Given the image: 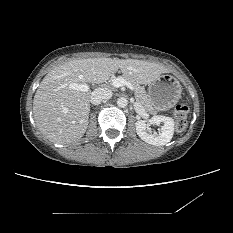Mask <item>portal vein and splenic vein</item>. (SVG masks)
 <instances>
[{
    "label": "portal vein and splenic vein",
    "instance_id": "portal-vein-and-splenic-vein-1",
    "mask_svg": "<svg viewBox=\"0 0 233 233\" xmlns=\"http://www.w3.org/2000/svg\"><path fill=\"white\" fill-rule=\"evenodd\" d=\"M112 86L115 87V88L126 86L131 91H134L133 85L129 81L124 79L123 77H118V78L114 79L112 81ZM69 88L74 89V90L83 91V92H87L90 89V87L87 84H77V83H71L69 85Z\"/></svg>",
    "mask_w": 233,
    "mask_h": 233
}]
</instances>
